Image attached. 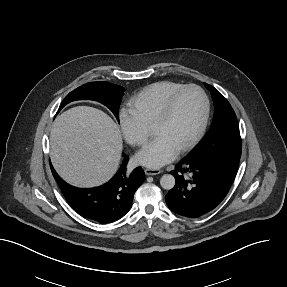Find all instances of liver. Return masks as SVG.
Wrapping results in <instances>:
<instances>
[{
  "instance_id": "1",
  "label": "liver",
  "mask_w": 287,
  "mask_h": 287,
  "mask_svg": "<svg viewBox=\"0 0 287 287\" xmlns=\"http://www.w3.org/2000/svg\"><path fill=\"white\" fill-rule=\"evenodd\" d=\"M50 147L51 162L66 182L94 187L116 172L123 145L117 124L106 113L77 106L56 118Z\"/></svg>"
}]
</instances>
